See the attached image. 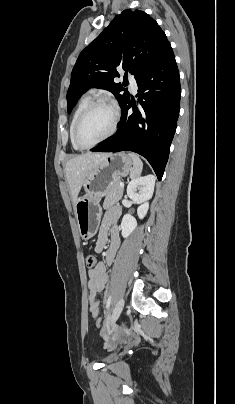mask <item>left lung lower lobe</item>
<instances>
[{
    "mask_svg": "<svg viewBox=\"0 0 235 404\" xmlns=\"http://www.w3.org/2000/svg\"><path fill=\"white\" fill-rule=\"evenodd\" d=\"M138 103L130 96L121 107L117 132L92 151H132L145 157L162 179L180 110V79L168 43L135 77ZM132 108L133 113L128 114Z\"/></svg>",
    "mask_w": 235,
    "mask_h": 404,
    "instance_id": "obj_1",
    "label": "left lung lower lobe"
}]
</instances>
